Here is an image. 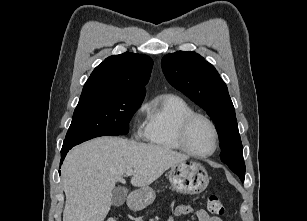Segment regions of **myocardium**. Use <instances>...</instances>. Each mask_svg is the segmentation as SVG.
<instances>
[{"label": "myocardium", "instance_id": "obj_1", "mask_svg": "<svg viewBox=\"0 0 307 221\" xmlns=\"http://www.w3.org/2000/svg\"><path fill=\"white\" fill-rule=\"evenodd\" d=\"M198 119L204 120L211 127L213 134H214L213 149L210 152L205 153V154H199V153L194 152L190 148L188 141H187L189 129H190L191 125ZM177 141H178L180 148L184 152L189 154L190 156L195 157V158H199V159H205V158H208V157H211L212 155H214L215 152L218 150V147H219V131H218L216 124L213 122L212 119H210L208 116H206L204 114L194 112V113L186 116L181 121V123L178 127V131H177Z\"/></svg>", "mask_w": 307, "mask_h": 221}]
</instances>
